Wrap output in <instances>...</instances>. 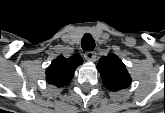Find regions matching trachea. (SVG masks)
Here are the masks:
<instances>
[{"instance_id": "3493384b", "label": "trachea", "mask_w": 165, "mask_h": 113, "mask_svg": "<svg viewBox=\"0 0 165 113\" xmlns=\"http://www.w3.org/2000/svg\"><path fill=\"white\" fill-rule=\"evenodd\" d=\"M81 45L84 50H93L95 47V41L91 35L86 34L82 38Z\"/></svg>"}]
</instances>
